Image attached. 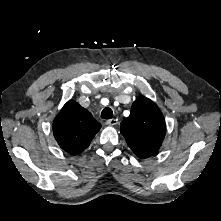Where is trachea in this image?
<instances>
[{"label": "trachea", "mask_w": 221, "mask_h": 221, "mask_svg": "<svg viewBox=\"0 0 221 221\" xmlns=\"http://www.w3.org/2000/svg\"><path fill=\"white\" fill-rule=\"evenodd\" d=\"M101 118L102 119L113 118V111L111 110V108H109V107L104 108L101 112Z\"/></svg>", "instance_id": "trachea-1"}]
</instances>
